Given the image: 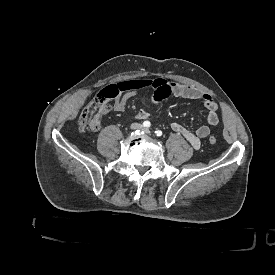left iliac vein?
I'll return each instance as SVG.
<instances>
[{"mask_svg": "<svg viewBox=\"0 0 275 275\" xmlns=\"http://www.w3.org/2000/svg\"><path fill=\"white\" fill-rule=\"evenodd\" d=\"M146 134H149L150 133V130L149 129H145L144 130Z\"/></svg>", "mask_w": 275, "mask_h": 275, "instance_id": "obj_1", "label": "left iliac vein"}]
</instances>
